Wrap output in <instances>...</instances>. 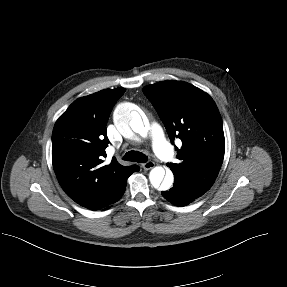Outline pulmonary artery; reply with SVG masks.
Returning a JSON list of instances; mask_svg holds the SVG:
<instances>
[{
	"mask_svg": "<svg viewBox=\"0 0 287 287\" xmlns=\"http://www.w3.org/2000/svg\"><path fill=\"white\" fill-rule=\"evenodd\" d=\"M153 148L155 153L164 161H171L173 159V151L170 145L164 138L161 128L154 124L152 126Z\"/></svg>",
	"mask_w": 287,
	"mask_h": 287,
	"instance_id": "pulmonary-artery-1",
	"label": "pulmonary artery"
}]
</instances>
